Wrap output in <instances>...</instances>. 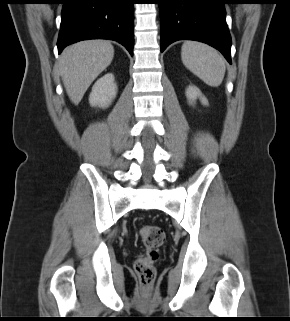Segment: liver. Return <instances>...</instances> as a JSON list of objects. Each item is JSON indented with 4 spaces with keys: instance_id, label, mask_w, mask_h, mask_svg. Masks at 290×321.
I'll list each match as a JSON object with an SVG mask.
<instances>
[{
    "instance_id": "liver-1",
    "label": "liver",
    "mask_w": 290,
    "mask_h": 321,
    "mask_svg": "<svg viewBox=\"0 0 290 321\" xmlns=\"http://www.w3.org/2000/svg\"><path fill=\"white\" fill-rule=\"evenodd\" d=\"M114 57L109 41L85 40L68 46L59 57L58 70L70 100L78 105L97 76Z\"/></svg>"
}]
</instances>
